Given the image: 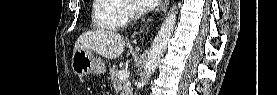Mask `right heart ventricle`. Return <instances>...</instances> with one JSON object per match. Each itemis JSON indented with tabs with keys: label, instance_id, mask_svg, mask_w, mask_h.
Listing matches in <instances>:
<instances>
[{
	"label": "right heart ventricle",
	"instance_id": "1",
	"mask_svg": "<svg viewBox=\"0 0 277 95\" xmlns=\"http://www.w3.org/2000/svg\"><path fill=\"white\" fill-rule=\"evenodd\" d=\"M122 0H94L92 22L96 29L116 30L126 23L127 16Z\"/></svg>",
	"mask_w": 277,
	"mask_h": 95
}]
</instances>
